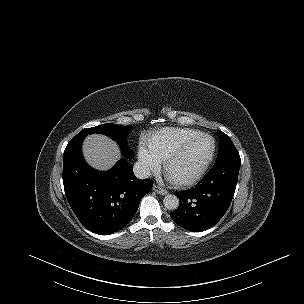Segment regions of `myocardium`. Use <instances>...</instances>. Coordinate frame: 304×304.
Segmentation results:
<instances>
[{
  "label": "myocardium",
  "instance_id": "1",
  "mask_svg": "<svg viewBox=\"0 0 304 304\" xmlns=\"http://www.w3.org/2000/svg\"><path fill=\"white\" fill-rule=\"evenodd\" d=\"M202 138H210L212 140V149H211V152H210L208 158L206 159V161L199 168V170L197 172H195L193 175L184 177V178H178V179L172 178L170 175V168H171L173 162L177 158H179L181 155H183L194 143H196L197 141H199ZM215 152H216V141H215L214 137L207 133H200L196 137L192 138L191 140H189L188 142L183 144L181 147H179L177 150H175L173 153H171L167 157L165 165H164L165 173H166L168 179L176 186L184 187V186L192 185V184L196 183L197 181H199L203 177V175L206 173L207 169L209 168L210 164L212 163V161L214 159Z\"/></svg>",
  "mask_w": 304,
  "mask_h": 304
}]
</instances>
